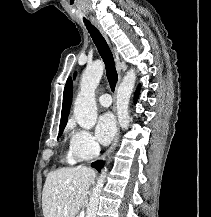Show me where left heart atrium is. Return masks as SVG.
I'll return each mask as SVG.
<instances>
[{"label":"left heart atrium","instance_id":"left-heart-atrium-1","mask_svg":"<svg viewBox=\"0 0 211 217\" xmlns=\"http://www.w3.org/2000/svg\"><path fill=\"white\" fill-rule=\"evenodd\" d=\"M95 132L97 139L104 145L113 139L116 132V124L111 113H104L99 117Z\"/></svg>","mask_w":211,"mask_h":217}]
</instances>
